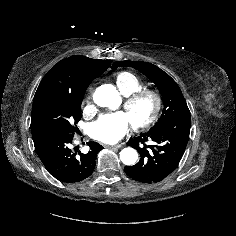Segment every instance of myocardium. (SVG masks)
I'll return each mask as SVG.
<instances>
[{
    "label": "myocardium",
    "instance_id": "1",
    "mask_svg": "<svg viewBox=\"0 0 236 236\" xmlns=\"http://www.w3.org/2000/svg\"><path fill=\"white\" fill-rule=\"evenodd\" d=\"M144 98H150L152 100L153 109L151 114L145 120L141 122H131V125L135 130H145L152 126L158 120L162 110L161 95L157 91L147 88H143L126 96L123 103L124 110L128 111L133 105Z\"/></svg>",
    "mask_w": 236,
    "mask_h": 236
}]
</instances>
